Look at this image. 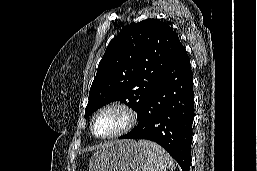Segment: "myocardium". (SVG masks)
<instances>
[{"label": "myocardium", "mask_w": 257, "mask_h": 171, "mask_svg": "<svg viewBox=\"0 0 257 171\" xmlns=\"http://www.w3.org/2000/svg\"><path fill=\"white\" fill-rule=\"evenodd\" d=\"M119 110L122 113H124V115L126 116V123L125 125L119 129L118 131L109 134V135H104V136H99L95 133L94 131V123L96 118L98 117L99 114L103 113L104 111L107 110ZM138 122V114L136 112V110L130 106L129 104L125 103V102H120V101H116V102H110L108 104H105L104 106L100 107L92 116L91 118V122H90V131L92 133V135L98 139H113V138H117L120 137L126 133H128L129 131H131L137 124Z\"/></svg>", "instance_id": "obj_1"}]
</instances>
